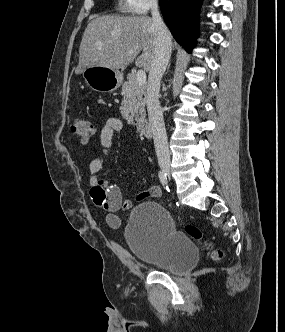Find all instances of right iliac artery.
Returning <instances> with one entry per match:
<instances>
[{"instance_id": "82829eb1", "label": "right iliac artery", "mask_w": 285, "mask_h": 332, "mask_svg": "<svg viewBox=\"0 0 285 332\" xmlns=\"http://www.w3.org/2000/svg\"><path fill=\"white\" fill-rule=\"evenodd\" d=\"M158 176H159L160 182L162 183L163 187L169 191L168 178H167L166 173H164L163 171H159Z\"/></svg>"}]
</instances>
